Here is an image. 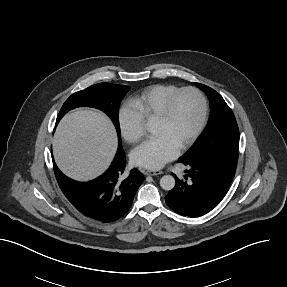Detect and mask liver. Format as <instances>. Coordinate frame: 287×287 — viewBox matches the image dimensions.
<instances>
[{
  "instance_id": "6515ba94",
  "label": "liver",
  "mask_w": 287,
  "mask_h": 287,
  "mask_svg": "<svg viewBox=\"0 0 287 287\" xmlns=\"http://www.w3.org/2000/svg\"><path fill=\"white\" fill-rule=\"evenodd\" d=\"M117 149L111 121L103 114L80 109L66 115L53 139L54 159L68 177L87 181L103 173Z\"/></svg>"
}]
</instances>
